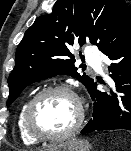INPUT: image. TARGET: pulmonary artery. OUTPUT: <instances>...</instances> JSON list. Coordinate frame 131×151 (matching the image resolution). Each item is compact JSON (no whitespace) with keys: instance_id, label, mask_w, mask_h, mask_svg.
<instances>
[{"instance_id":"pulmonary-artery-1","label":"pulmonary artery","mask_w":131,"mask_h":151,"mask_svg":"<svg viewBox=\"0 0 131 151\" xmlns=\"http://www.w3.org/2000/svg\"><path fill=\"white\" fill-rule=\"evenodd\" d=\"M85 59L87 63L96 71L100 72L102 70L101 68V62H100V55L99 53L92 49L87 48L85 51Z\"/></svg>"}]
</instances>
